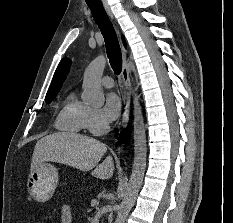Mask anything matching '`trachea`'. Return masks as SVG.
Segmentation results:
<instances>
[{
    "label": "trachea",
    "mask_w": 233,
    "mask_h": 223,
    "mask_svg": "<svg viewBox=\"0 0 233 223\" xmlns=\"http://www.w3.org/2000/svg\"><path fill=\"white\" fill-rule=\"evenodd\" d=\"M88 6L91 9L92 16L104 37L105 47L111 67L115 74L119 75L122 70V54L115 29L100 1L88 4Z\"/></svg>",
    "instance_id": "1"
}]
</instances>
